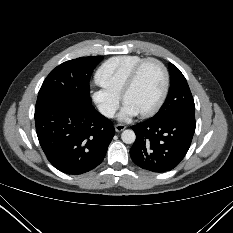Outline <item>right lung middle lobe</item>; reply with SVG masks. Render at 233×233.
<instances>
[{"label": "right lung middle lobe", "instance_id": "right-lung-middle-lobe-1", "mask_svg": "<svg viewBox=\"0 0 233 233\" xmlns=\"http://www.w3.org/2000/svg\"><path fill=\"white\" fill-rule=\"evenodd\" d=\"M103 56L81 57L57 66L44 80L35 110L56 102L91 104L89 80Z\"/></svg>", "mask_w": 233, "mask_h": 233}]
</instances>
